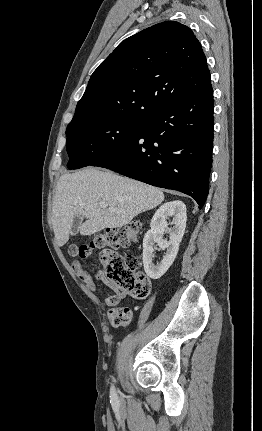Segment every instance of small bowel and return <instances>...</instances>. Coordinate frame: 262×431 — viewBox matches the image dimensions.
I'll use <instances>...</instances> for the list:
<instances>
[{"instance_id":"obj_1","label":"small bowel","mask_w":262,"mask_h":431,"mask_svg":"<svg viewBox=\"0 0 262 431\" xmlns=\"http://www.w3.org/2000/svg\"><path fill=\"white\" fill-rule=\"evenodd\" d=\"M79 277L83 281V283L90 289H96V281L95 279L89 275L86 271L79 274ZM125 294L120 292L114 288H111L110 292L107 293L104 299L105 305L109 308V316L111 317L115 312L120 309H124L120 307L122 300L124 299ZM130 310V309H129ZM131 312V311H130Z\"/></svg>"}]
</instances>
